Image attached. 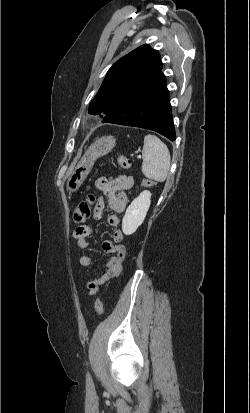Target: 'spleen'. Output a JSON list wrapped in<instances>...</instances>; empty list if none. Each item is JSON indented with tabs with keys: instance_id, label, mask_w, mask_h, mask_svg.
<instances>
[{
	"instance_id": "obj_1",
	"label": "spleen",
	"mask_w": 250,
	"mask_h": 413,
	"mask_svg": "<svg viewBox=\"0 0 250 413\" xmlns=\"http://www.w3.org/2000/svg\"><path fill=\"white\" fill-rule=\"evenodd\" d=\"M142 173L157 182H164L170 169L171 156L167 146L155 135L144 137Z\"/></svg>"
}]
</instances>
